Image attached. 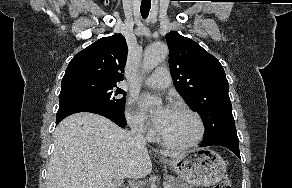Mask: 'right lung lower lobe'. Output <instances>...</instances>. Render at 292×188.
Returning <instances> with one entry per match:
<instances>
[{
    "label": "right lung lower lobe",
    "mask_w": 292,
    "mask_h": 188,
    "mask_svg": "<svg viewBox=\"0 0 292 188\" xmlns=\"http://www.w3.org/2000/svg\"><path fill=\"white\" fill-rule=\"evenodd\" d=\"M78 112L96 113L110 119L120 127H124L126 125L124 112L117 113L109 111L91 102L78 98L59 100V109L56 117V125L65 117Z\"/></svg>",
    "instance_id": "obj_1"
}]
</instances>
